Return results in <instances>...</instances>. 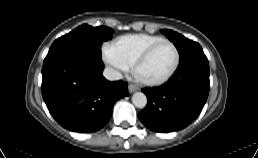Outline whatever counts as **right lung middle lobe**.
<instances>
[{"mask_svg":"<svg viewBox=\"0 0 258 158\" xmlns=\"http://www.w3.org/2000/svg\"><path fill=\"white\" fill-rule=\"evenodd\" d=\"M113 30L108 27H91L81 25L72 32L55 40L47 56L64 51L86 52L101 57L103 41L111 39Z\"/></svg>","mask_w":258,"mask_h":158,"instance_id":"1","label":"right lung middle lobe"}]
</instances>
